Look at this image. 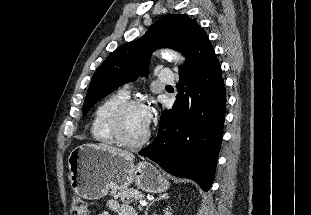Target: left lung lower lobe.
<instances>
[{"label":"left lung lower lobe","mask_w":311,"mask_h":215,"mask_svg":"<svg viewBox=\"0 0 311 215\" xmlns=\"http://www.w3.org/2000/svg\"><path fill=\"white\" fill-rule=\"evenodd\" d=\"M179 77L176 101L162 111L158 136L139 154L208 191L223 137L226 90L207 35L190 51Z\"/></svg>","instance_id":"left-lung-lower-lobe-1"}]
</instances>
